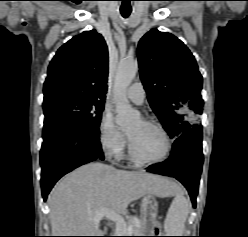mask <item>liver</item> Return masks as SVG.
<instances>
[{
  "label": "liver",
  "mask_w": 248,
  "mask_h": 237,
  "mask_svg": "<svg viewBox=\"0 0 248 237\" xmlns=\"http://www.w3.org/2000/svg\"><path fill=\"white\" fill-rule=\"evenodd\" d=\"M169 188L172 194L180 190L169 180L144 171L83 165L62 178L48 197L52 236H101L100 221L92 220L99 210L121 214L131 202L148 194L159 196Z\"/></svg>",
  "instance_id": "1"
}]
</instances>
